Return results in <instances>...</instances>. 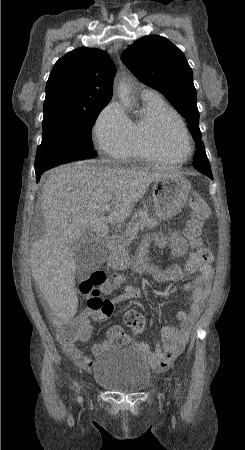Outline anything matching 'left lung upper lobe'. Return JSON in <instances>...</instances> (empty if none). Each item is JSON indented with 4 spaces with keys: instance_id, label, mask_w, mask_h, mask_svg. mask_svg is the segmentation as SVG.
Instances as JSON below:
<instances>
[{
    "instance_id": "left-lung-upper-lobe-1",
    "label": "left lung upper lobe",
    "mask_w": 245,
    "mask_h": 450,
    "mask_svg": "<svg viewBox=\"0 0 245 450\" xmlns=\"http://www.w3.org/2000/svg\"><path fill=\"white\" fill-rule=\"evenodd\" d=\"M121 59L141 82L168 98L186 119L196 147L202 146L192 69L183 52L168 39L151 35L130 45ZM193 165L201 172L211 171L206 153H195Z\"/></svg>"
}]
</instances>
